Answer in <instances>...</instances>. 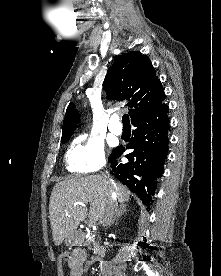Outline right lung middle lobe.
Listing matches in <instances>:
<instances>
[{"instance_id":"dd1d6c3e","label":"right lung middle lobe","mask_w":221,"mask_h":276,"mask_svg":"<svg viewBox=\"0 0 221 276\" xmlns=\"http://www.w3.org/2000/svg\"><path fill=\"white\" fill-rule=\"evenodd\" d=\"M67 140H63L62 143H65Z\"/></svg>"}]
</instances>
